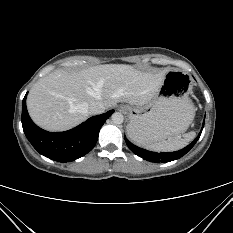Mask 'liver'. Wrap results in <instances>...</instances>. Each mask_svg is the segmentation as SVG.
<instances>
[{
	"label": "liver",
	"instance_id": "1",
	"mask_svg": "<svg viewBox=\"0 0 233 233\" xmlns=\"http://www.w3.org/2000/svg\"><path fill=\"white\" fill-rule=\"evenodd\" d=\"M168 71H141L125 64L93 66L79 72L55 70L34 84L27 109L38 126L49 131L69 130L90 116L91 102H101L106 109L118 102L147 104Z\"/></svg>",
	"mask_w": 233,
	"mask_h": 233
}]
</instances>
